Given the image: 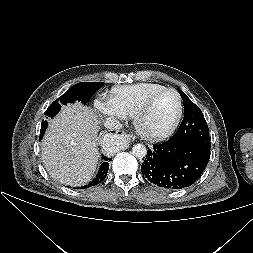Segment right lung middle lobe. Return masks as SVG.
<instances>
[{
    "label": "right lung middle lobe",
    "mask_w": 253,
    "mask_h": 253,
    "mask_svg": "<svg viewBox=\"0 0 253 253\" xmlns=\"http://www.w3.org/2000/svg\"><path fill=\"white\" fill-rule=\"evenodd\" d=\"M102 82H80L73 85L68 91H66L61 97L56 99L45 111L47 117H54L62 105L67 103H73L74 101H81L86 104L92 95L102 86ZM47 128V121H42L40 137H43L45 129Z\"/></svg>",
    "instance_id": "1"
}]
</instances>
